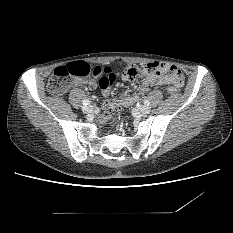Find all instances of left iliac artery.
Listing matches in <instances>:
<instances>
[{
    "label": "left iliac artery",
    "mask_w": 233,
    "mask_h": 233,
    "mask_svg": "<svg viewBox=\"0 0 233 233\" xmlns=\"http://www.w3.org/2000/svg\"><path fill=\"white\" fill-rule=\"evenodd\" d=\"M144 104L149 106L150 105V101L149 100H144Z\"/></svg>",
    "instance_id": "1"
}]
</instances>
